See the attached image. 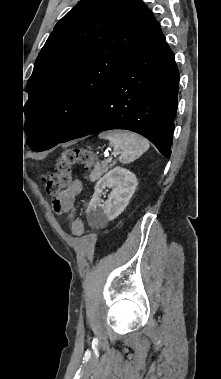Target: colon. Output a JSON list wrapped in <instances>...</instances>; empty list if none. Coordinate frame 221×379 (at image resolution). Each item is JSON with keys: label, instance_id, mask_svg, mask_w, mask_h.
<instances>
[{"label": "colon", "instance_id": "obj_1", "mask_svg": "<svg viewBox=\"0 0 221 379\" xmlns=\"http://www.w3.org/2000/svg\"><path fill=\"white\" fill-rule=\"evenodd\" d=\"M93 163V155L85 149L71 148L64 150L56 163L55 170L42 176L47 192L50 194V190L67 189L73 182L72 174L76 164H81L86 169H89ZM70 222L74 236L84 234L85 226L80 218H71Z\"/></svg>", "mask_w": 221, "mask_h": 379}]
</instances>
